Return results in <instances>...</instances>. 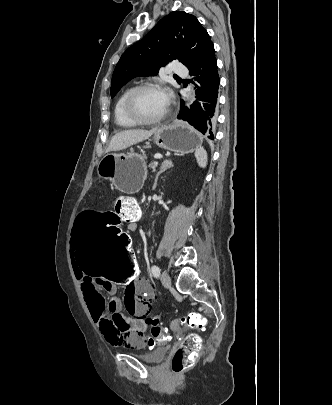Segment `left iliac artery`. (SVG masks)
Listing matches in <instances>:
<instances>
[{
	"label": "left iliac artery",
	"instance_id": "44dca946",
	"mask_svg": "<svg viewBox=\"0 0 332 405\" xmlns=\"http://www.w3.org/2000/svg\"><path fill=\"white\" fill-rule=\"evenodd\" d=\"M151 272H152V275H153L154 277L158 278L159 275H160V268H159L157 265H153V266L151 267Z\"/></svg>",
	"mask_w": 332,
	"mask_h": 405
}]
</instances>
